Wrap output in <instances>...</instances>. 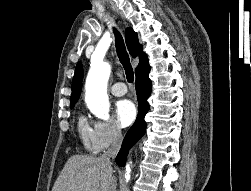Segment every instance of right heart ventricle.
Returning a JSON list of instances; mask_svg holds the SVG:
<instances>
[{
    "label": "right heart ventricle",
    "instance_id": "right-heart-ventricle-1",
    "mask_svg": "<svg viewBox=\"0 0 251 191\" xmlns=\"http://www.w3.org/2000/svg\"><path fill=\"white\" fill-rule=\"evenodd\" d=\"M78 134L85 149L93 153L98 151L94 143V129L84 116L79 117Z\"/></svg>",
    "mask_w": 251,
    "mask_h": 191
}]
</instances>
